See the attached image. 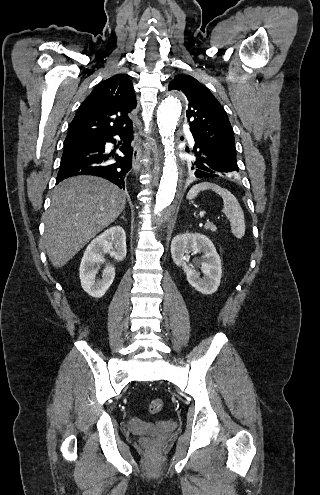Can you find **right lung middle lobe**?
I'll list each match as a JSON object with an SVG mask.
<instances>
[{
	"mask_svg": "<svg viewBox=\"0 0 320 495\" xmlns=\"http://www.w3.org/2000/svg\"><path fill=\"white\" fill-rule=\"evenodd\" d=\"M87 140H91V139H85V140H80V141H71V142H65V143H78V142L87 141Z\"/></svg>",
	"mask_w": 320,
	"mask_h": 495,
	"instance_id": "dd1d6c3e",
	"label": "right lung middle lobe"
}]
</instances>
